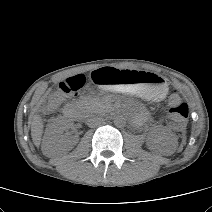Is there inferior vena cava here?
Segmentation results:
<instances>
[{"label":"inferior vena cava","instance_id":"inferior-vena-cava-1","mask_svg":"<svg viewBox=\"0 0 212 212\" xmlns=\"http://www.w3.org/2000/svg\"><path fill=\"white\" fill-rule=\"evenodd\" d=\"M103 119L101 117H91L87 120V125L89 127H94L96 125L101 124Z\"/></svg>","mask_w":212,"mask_h":212}]
</instances>
